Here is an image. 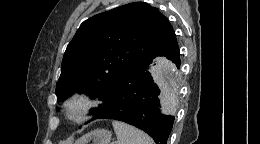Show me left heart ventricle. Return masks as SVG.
<instances>
[{"label":"left heart ventricle","mask_w":260,"mask_h":144,"mask_svg":"<svg viewBox=\"0 0 260 144\" xmlns=\"http://www.w3.org/2000/svg\"><path fill=\"white\" fill-rule=\"evenodd\" d=\"M78 110H79V105L78 104L73 105V114L74 115H76L78 113Z\"/></svg>","instance_id":"obj_1"}]
</instances>
